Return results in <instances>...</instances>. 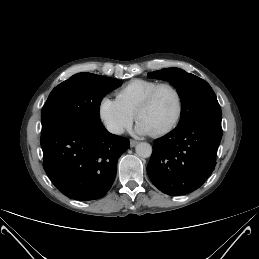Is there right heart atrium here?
Wrapping results in <instances>:
<instances>
[{
	"label": "right heart atrium",
	"instance_id": "obj_1",
	"mask_svg": "<svg viewBox=\"0 0 259 259\" xmlns=\"http://www.w3.org/2000/svg\"><path fill=\"white\" fill-rule=\"evenodd\" d=\"M98 115L108 131L113 134H121L128 129L134 120V115L125 110L120 103L104 96L98 105Z\"/></svg>",
	"mask_w": 259,
	"mask_h": 259
}]
</instances>
